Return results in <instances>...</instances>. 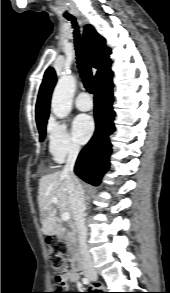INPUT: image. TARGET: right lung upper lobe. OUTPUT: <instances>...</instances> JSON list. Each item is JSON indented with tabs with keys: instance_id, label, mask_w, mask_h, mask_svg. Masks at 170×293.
Wrapping results in <instances>:
<instances>
[{
	"instance_id": "right-lung-upper-lobe-1",
	"label": "right lung upper lobe",
	"mask_w": 170,
	"mask_h": 293,
	"mask_svg": "<svg viewBox=\"0 0 170 293\" xmlns=\"http://www.w3.org/2000/svg\"><path fill=\"white\" fill-rule=\"evenodd\" d=\"M84 43L91 65L97 68L96 85L107 76L113 75L110 70L112 61L109 58L110 48L105 45L101 37L91 25L84 29ZM56 83V74L53 68H48L44 74L36 103V121L38 129L45 127L49 116V106L52 90Z\"/></svg>"
}]
</instances>
